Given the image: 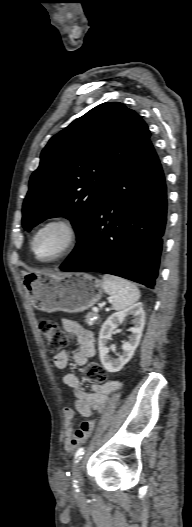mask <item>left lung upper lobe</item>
I'll use <instances>...</instances> for the list:
<instances>
[{
    "label": "left lung upper lobe",
    "instance_id": "left-lung-upper-lobe-1",
    "mask_svg": "<svg viewBox=\"0 0 192 527\" xmlns=\"http://www.w3.org/2000/svg\"><path fill=\"white\" fill-rule=\"evenodd\" d=\"M146 123L119 102L91 109L53 136L23 203L26 230L64 216L81 236L117 176L150 141Z\"/></svg>",
    "mask_w": 192,
    "mask_h": 527
}]
</instances>
